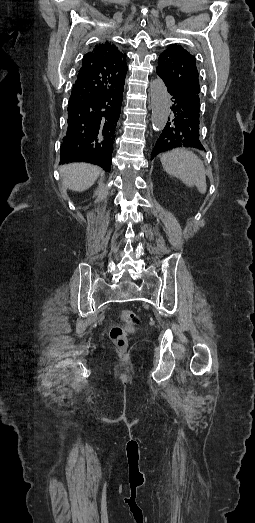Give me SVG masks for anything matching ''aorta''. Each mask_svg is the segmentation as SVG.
I'll use <instances>...</instances> for the list:
<instances>
[{"mask_svg":"<svg viewBox=\"0 0 255 523\" xmlns=\"http://www.w3.org/2000/svg\"><path fill=\"white\" fill-rule=\"evenodd\" d=\"M152 127L155 131H162L169 117L170 98L164 82L157 78L150 84Z\"/></svg>","mask_w":255,"mask_h":523,"instance_id":"1","label":"aorta"}]
</instances>
